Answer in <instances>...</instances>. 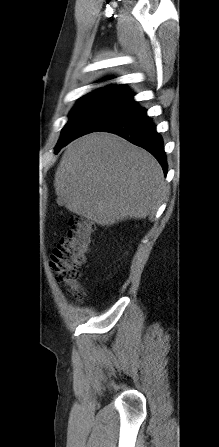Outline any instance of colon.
<instances>
[{"label":"colon","instance_id":"1","mask_svg":"<svg viewBox=\"0 0 219 447\" xmlns=\"http://www.w3.org/2000/svg\"><path fill=\"white\" fill-rule=\"evenodd\" d=\"M67 236L63 237L51 255V266L57 280L68 286L80 299L83 288L79 284L80 269L87 260L93 235V224L80 216L71 218Z\"/></svg>","mask_w":219,"mask_h":447}]
</instances>
